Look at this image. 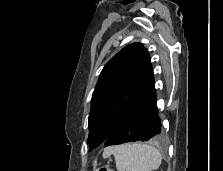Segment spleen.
Wrapping results in <instances>:
<instances>
[{"mask_svg":"<svg viewBox=\"0 0 223 171\" xmlns=\"http://www.w3.org/2000/svg\"><path fill=\"white\" fill-rule=\"evenodd\" d=\"M117 171H153L162 162L160 151L147 144H124L110 149Z\"/></svg>","mask_w":223,"mask_h":171,"instance_id":"obj_1","label":"spleen"}]
</instances>
